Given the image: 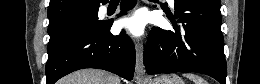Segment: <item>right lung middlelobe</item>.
Here are the masks:
<instances>
[{
    "label": "right lung middle lobe",
    "mask_w": 260,
    "mask_h": 84,
    "mask_svg": "<svg viewBox=\"0 0 260 84\" xmlns=\"http://www.w3.org/2000/svg\"><path fill=\"white\" fill-rule=\"evenodd\" d=\"M105 23L98 19V12L86 14L72 19L59 26L48 28L50 40L48 43V57L53 55L69 40L99 32Z\"/></svg>",
    "instance_id": "1"
}]
</instances>
